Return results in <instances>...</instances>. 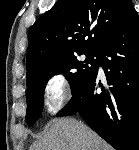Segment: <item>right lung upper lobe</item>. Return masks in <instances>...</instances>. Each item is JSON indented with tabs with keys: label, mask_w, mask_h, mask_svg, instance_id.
I'll return each instance as SVG.
<instances>
[{
	"label": "right lung upper lobe",
	"mask_w": 139,
	"mask_h": 150,
	"mask_svg": "<svg viewBox=\"0 0 139 150\" xmlns=\"http://www.w3.org/2000/svg\"><path fill=\"white\" fill-rule=\"evenodd\" d=\"M133 10L131 0H58L29 30L26 77L54 59L98 52Z\"/></svg>",
	"instance_id": "cb5924a9"
}]
</instances>
